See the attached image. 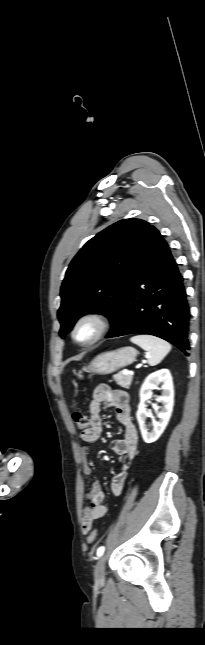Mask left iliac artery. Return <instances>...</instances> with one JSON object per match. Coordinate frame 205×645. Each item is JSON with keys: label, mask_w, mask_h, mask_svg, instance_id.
I'll return each mask as SVG.
<instances>
[{"label": "left iliac artery", "mask_w": 205, "mask_h": 645, "mask_svg": "<svg viewBox=\"0 0 205 645\" xmlns=\"http://www.w3.org/2000/svg\"><path fill=\"white\" fill-rule=\"evenodd\" d=\"M104 550H105L104 546L99 547L98 550H97V556L98 557L102 556L103 553H104Z\"/></svg>", "instance_id": "left-iliac-artery-1"}]
</instances>
